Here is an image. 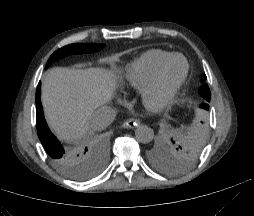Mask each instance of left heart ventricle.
Returning <instances> with one entry per match:
<instances>
[{
  "label": "left heart ventricle",
  "instance_id": "obj_1",
  "mask_svg": "<svg viewBox=\"0 0 254 216\" xmlns=\"http://www.w3.org/2000/svg\"><path fill=\"white\" fill-rule=\"evenodd\" d=\"M184 70V62L181 59L172 61L164 70L158 91L149 98L150 103H156L181 76Z\"/></svg>",
  "mask_w": 254,
  "mask_h": 216
}]
</instances>
